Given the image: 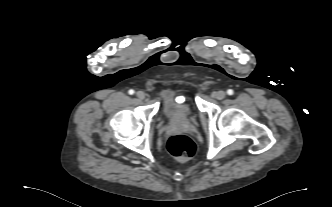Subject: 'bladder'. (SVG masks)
Wrapping results in <instances>:
<instances>
[{"mask_svg": "<svg viewBox=\"0 0 332 207\" xmlns=\"http://www.w3.org/2000/svg\"><path fill=\"white\" fill-rule=\"evenodd\" d=\"M192 93L184 89H165L161 96L160 114L167 120H185L195 114Z\"/></svg>", "mask_w": 332, "mask_h": 207, "instance_id": "31cf9c89", "label": "bladder"}]
</instances>
